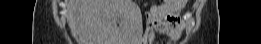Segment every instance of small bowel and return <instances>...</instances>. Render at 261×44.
Listing matches in <instances>:
<instances>
[{
    "mask_svg": "<svg viewBox=\"0 0 261 44\" xmlns=\"http://www.w3.org/2000/svg\"><path fill=\"white\" fill-rule=\"evenodd\" d=\"M182 6L162 4L152 7V19L148 25L147 37L152 38L154 32L172 37L180 35V11Z\"/></svg>",
    "mask_w": 261,
    "mask_h": 44,
    "instance_id": "obj_1",
    "label": "small bowel"
}]
</instances>
